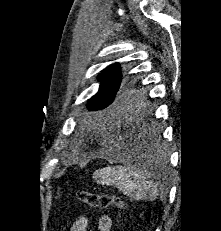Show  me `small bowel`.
Segmentation results:
<instances>
[{
  "label": "small bowel",
  "instance_id": "small-bowel-1",
  "mask_svg": "<svg viewBox=\"0 0 221 231\" xmlns=\"http://www.w3.org/2000/svg\"><path fill=\"white\" fill-rule=\"evenodd\" d=\"M89 220L86 216H80L71 226L70 231H87ZM112 219L108 215H102L97 221L98 231H111Z\"/></svg>",
  "mask_w": 221,
  "mask_h": 231
}]
</instances>
